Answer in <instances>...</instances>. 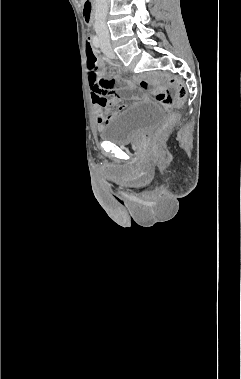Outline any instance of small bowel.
Listing matches in <instances>:
<instances>
[{
    "instance_id": "small-bowel-1",
    "label": "small bowel",
    "mask_w": 241,
    "mask_h": 379,
    "mask_svg": "<svg viewBox=\"0 0 241 379\" xmlns=\"http://www.w3.org/2000/svg\"><path fill=\"white\" fill-rule=\"evenodd\" d=\"M88 41L91 43L90 38ZM100 80L102 81H111L106 78L100 77ZM115 84H118L119 87L116 88V90L121 91L124 93L123 96L121 97H129L133 96V91L136 88V81L135 80H129L126 82H123L119 79V77H116L113 81H111ZM139 85L143 89H147L149 86V83L147 80H139ZM91 82H89L90 85ZM92 91V101H93V106L96 114V120L99 126H102L106 124L109 119L112 117L113 113L117 110H121L124 108V105L119 104V98L116 97L118 95L114 94L113 92H110L108 94L113 95L111 98H107L108 94L101 95L97 93L94 89H91Z\"/></svg>"
}]
</instances>
